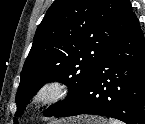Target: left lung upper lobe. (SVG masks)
Returning <instances> with one entry per match:
<instances>
[{
	"label": "left lung upper lobe",
	"mask_w": 145,
	"mask_h": 124,
	"mask_svg": "<svg viewBox=\"0 0 145 124\" xmlns=\"http://www.w3.org/2000/svg\"><path fill=\"white\" fill-rule=\"evenodd\" d=\"M129 0H56L39 24L16 93L20 115L42 83L69 87L66 99L49 107L52 116L85 88L132 16ZM15 123L17 120L15 119Z\"/></svg>",
	"instance_id": "1"
}]
</instances>
